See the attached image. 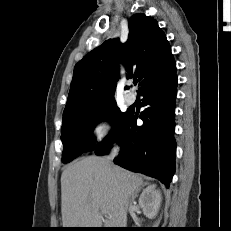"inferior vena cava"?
I'll list each match as a JSON object with an SVG mask.
<instances>
[{"label":"inferior vena cava","mask_w":231,"mask_h":231,"mask_svg":"<svg viewBox=\"0 0 231 231\" xmlns=\"http://www.w3.org/2000/svg\"><path fill=\"white\" fill-rule=\"evenodd\" d=\"M119 151H120V148H119L118 146H115V147L111 150L109 156L107 157V162H108V163H111L112 160L118 155Z\"/></svg>","instance_id":"obj_1"}]
</instances>
